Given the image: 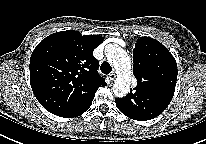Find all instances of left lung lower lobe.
Returning <instances> with one entry per match:
<instances>
[{
  "label": "left lung lower lobe",
  "instance_id": "obj_1",
  "mask_svg": "<svg viewBox=\"0 0 206 144\" xmlns=\"http://www.w3.org/2000/svg\"><path fill=\"white\" fill-rule=\"evenodd\" d=\"M117 108L127 117L135 120H140V121H145V120H150L155 117H157L159 114H161L166 108H162L160 104L156 101H151L149 100H142L140 103L141 105V111L139 114L132 116L127 109L126 102L121 98H116L115 99Z\"/></svg>",
  "mask_w": 206,
  "mask_h": 144
}]
</instances>
